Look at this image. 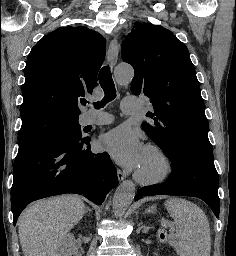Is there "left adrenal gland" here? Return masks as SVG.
Masks as SVG:
<instances>
[{
	"label": "left adrenal gland",
	"mask_w": 236,
	"mask_h": 256,
	"mask_svg": "<svg viewBox=\"0 0 236 256\" xmlns=\"http://www.w3.org/2000/svg\"><path fill=\"white\" fill-rule=\"evenodd\" d=\"M154 210V206H152V208H147V210H145V214H153Z\"/></svg>",
	"instance_id": "a2214340"
}]
</instances>
